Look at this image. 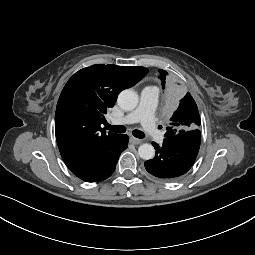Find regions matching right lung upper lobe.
<instances>
[{"label":"right lung upper lobe","mask_w":255,"mask_h":255,"mask_svg":"<svg viewBox=\"0 0 255 255\" xmlns=\"http://www.w3.org/2000/svg\"><path fill=\"white\" fill-rule=\"evenodd\" d=\"M147 73L144 67L97 64L79 70L68 80L55 114L56 140L68 168L119 142L122 135L106 133L101 124L118 94Z\"/></svg>","instance_id":"obj_1"}]
</instances>
